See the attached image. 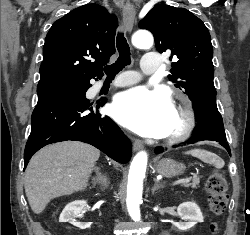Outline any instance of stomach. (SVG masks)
Here are the masks:
<instances>
[{"instance_id": "obj_1", "label": "stomach", "mask_w": 250, "mask_h": 235, "mask_svg": "<svg viewBox=\"0 0 250 235\" xmlns=\"http://www.w3.org/2000/svg\"><path fill=\"white\" fill-rule=\"evenodd\" d=\"M185 169V165L172 159H162L155 166L158 174L165 177H175L180 175Z\"/></svg>"}]
</instances>
